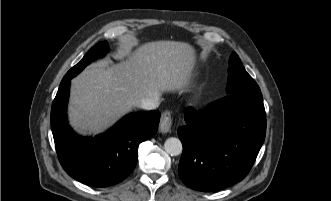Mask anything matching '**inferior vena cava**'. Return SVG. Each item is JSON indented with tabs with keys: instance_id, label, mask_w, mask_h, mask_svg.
Returning <instances> with one entry per match:
<instances>
[{
	"instance_id": "602c4592",
	"label": "inferior vena cava",
	"mask_w": 331,
	"mask_h": 201,
	"mask_svg": "<svg viewBox=\"0 0 331 201\" xmlns=\"http://www.w3.org/2000/svg\"><path fill=\"white\" fill-rule=\"evenodd\" d=\"M160 95L151 93L148 97L143 98L140 102V107L146 110H153L159 106Z\"/></svg>"
}]
</instances>
